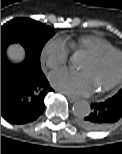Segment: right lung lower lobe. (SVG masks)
Listing matches in <instances>:
<instances>
[{
    "label": "right lung lower lobe",
    "instance_id": "obj_1",
    "mask_svg": "<svg viewBox=\"0 0 122 154\" xmlns=\"http://www.w3.org/2000/svg\"><path fill=\"white\" fill-rule=\"evenodd\" d=\"M5 50L1 48V116L13 124L30 123L44 112V98L53 89L28 54L21 64L13 65Z\"/></svg>",
    "mask_w": 122,
    "mask_h": 154
}]
</instances>
